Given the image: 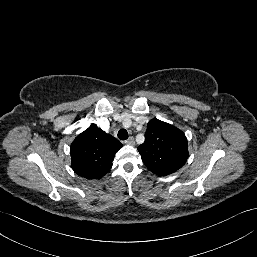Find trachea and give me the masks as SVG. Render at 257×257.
<instances>
[{
  "label": "trachea",
  "instance_id": "3493384b",
  "mask_svg": "<svg viewBox=\"0 0 257 257\" xmlns=\"http://www.w3.org/2000/svg\"><path fill=\"white\" fill-rule=\"evenodd\" d=\"M118 138L121 140H126L128 139V132L126 129H120L118 131Z\"/></svg>",
  "mask_w": 257,
  "mask_h": 257
}]
</instances>
